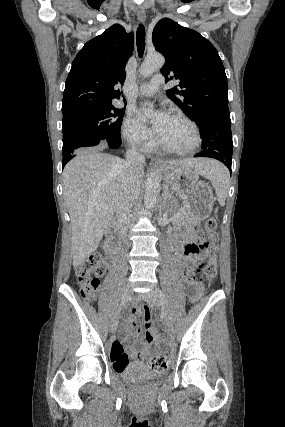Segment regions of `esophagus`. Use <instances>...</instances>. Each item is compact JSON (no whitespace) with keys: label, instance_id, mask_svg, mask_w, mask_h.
<instances>
[{"label":"esophagus","instance_id":"obj_1","mask_svg":"<svg viewBox=\"0 0 285 427\" xmlns=\"http://www.w3.org/2000/svg\"><path fill=\"white\" fill-rule=\"evenodd\" d=\"M137 15H138V20H139L141 23H144V22H145V19H146V12H145V9H144L143 7H140V8L138 9V13H137ZM161 163H162V161L157 160V159H154V158H152V159L150 160V165H151V166H155V165H158V164H161Z\"/></svg>","mask_w":285,"mask_h":427}]
</instances>
